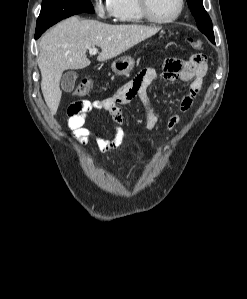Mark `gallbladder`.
Returning a JSON list of instances; mask_svg holds the SVG:
<instances>
[{"instance_id": "gallbladder-1", "label": "gallbladder", "mask_w": 247, "mask_h": 299, "mask_svg": "<svg viewBox=\"0 0 247 299\" xmlns=\"http://www.w3.org/2000/svg\"><path fill=\"white\" fill-rule=\"evenodd\" d=\"M76 78H77V74L75 71L72 70L67 71L61 78L62 90L67 93L73 91Z\"/></svg>"}]
</instances>
